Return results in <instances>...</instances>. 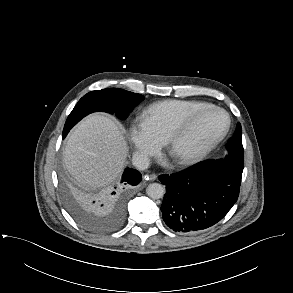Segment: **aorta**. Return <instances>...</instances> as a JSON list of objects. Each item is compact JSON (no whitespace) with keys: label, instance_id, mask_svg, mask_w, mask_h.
I'll list each match as a JSON object with an SVG mask.
<instances>
[{"label":"aorta","instance_id":"obj_1","mask_svg":"<svg viewBox=\"0 0 293 293\" xmlns=\"http://www.w3.org/2000/svg\"><path fill=\"white\" fill-rule=\"evenodd\" d=\"M146 193L151 199L156 200L163 197L165 189L159 183H152L147 187Z\"/></svg>","mask_w":293,"mask_h":293}]
</instances>
